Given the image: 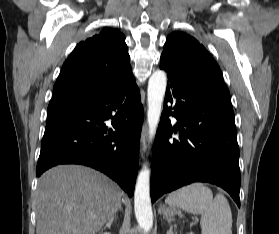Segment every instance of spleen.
<instances>
[{"label":"spleen","instance_id":"spleen-1","mask_svg":"<svg viewBox=\"0 0 279 234\" xmlns=\"http://www.w3.org/2000/svg\"><path fill=\"white\" fill-rule=\"evenodd\" d=\"M165 202L201 215L202 234H232V214L224 195L213 199L212 191L202 183H193L168 195Z\"/></svg>","mask_w":279,"mask_h":234}]
</instances>
